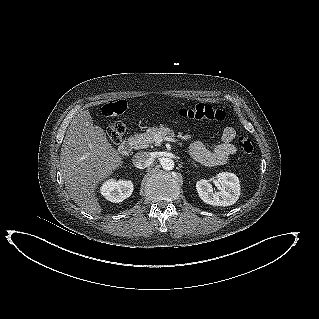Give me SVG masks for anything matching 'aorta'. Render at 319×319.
Instances as JSON below:
<instances>
[{"mask_svg":"<svg viewBox=\"0 0 319 319\" xmlns=\"http://www.w3.org/2000/svg\"><path fill=\"white\" fill-rule=\"evenodd\" d=\"M162 168L166 171L172 170L174 168V161L170 158H164L161 161Z\"/></svg>","mask_w":319,"mask_h":319,"instance_id":"1","label":"aorta"}]
</instances>
